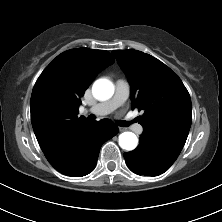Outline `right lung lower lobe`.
<instances>
[{"mask_svg": "<svg viewBox=\"0 0 222 222\" xmlns=\"http://www.w3.org/2000/svg\"><path fill=\"white\" fill-rule=\"evenodd\" d=\"M117 133L118 127L111 120L89 121L57 157L46 158L64 175H87L95 168L102 144Z\"/></svg>", "mask_w": 222, "mask_h": 222, "instance_id": "1", "label": "right lung lower lobe"}]
</instances>
